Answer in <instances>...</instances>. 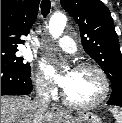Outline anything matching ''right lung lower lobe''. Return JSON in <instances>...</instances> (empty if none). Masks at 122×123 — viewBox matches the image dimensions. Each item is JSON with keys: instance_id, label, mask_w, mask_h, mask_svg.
<instances>
[{"instance_id": "1", "label": "right lung lower lobe", "mask_w": 122, "mask_h": 123, "mask_svg": "<svg viewBox=\"0 0 122 123\" xmlns=\"http://www.w3.org/2000/svg\"><path fill=\"white\" fill-rule=\"evenodd\" d=\"M31 72L1 63V95H26L32 91Z\"/></svg>"}]
</instances>
